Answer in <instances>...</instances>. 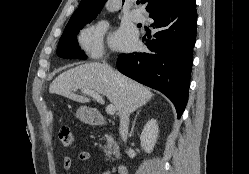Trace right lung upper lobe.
<instances>
[{"label": "right lung upper lobe", "instance_id": "1", "mask_svg": "<svg viewBox=\"0 0 249 174\" xmlns=\"http://www.w3.org/2000/svg\"><path fill=\"white\" fill-rule=\"evenodd\" d=\"M106 1L107 0H81L78 9L75 10L68 24L93 20L97 16V14L101 11ZM141 1L142 3L146 2L149 3L146 7V10L150 14L160 8L169 7L187 0H141Z\"/></svg>", "mask_w": 249, "mask_h": 174}]
</instances>
